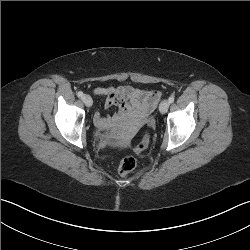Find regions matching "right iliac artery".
<instances>
[{"label": "right iliac artery", "mask_w": 250, "mask_h": 250, "mask_svg": "<svg viewBox=\"0 0 250 250\" xmlns=\"http://www.w3.org/2000/svg\"><path fill=\"white\" fill-rule=\"evenodd\" d=\"M83 95H84V94H83V92H81V91H79V92L77 93V96L80 97V98H82Z\"/></svg>", "instance_id": "right-iliac-artery-1"}]
</instances>
